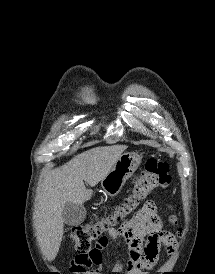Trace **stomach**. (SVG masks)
Segmentation results:
<instances>
[{
	"label": "stomach",
	"instance_id": "1",
	"mask_svg": "<svg viewBox=\"0 0 215 274\" xmlns=\"http://www.w3.org/2000/svg\"><path fill=\"white\" fill-rule=\"evenodd\" d=\"M141 157L133 152L122 154L115 162L109 174L101 181L104 192L116 196L140 165Z\"/></svg>",
	"mask_w": 215,
	"mask_h": 274
}]
</instances>
